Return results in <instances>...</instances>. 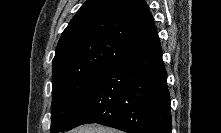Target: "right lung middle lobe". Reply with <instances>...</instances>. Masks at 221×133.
<instances>
[{
	"label": "right lung middle lobe",
	"mask_w": 221,
	"mask_h": 133,
	"mask_svg": "<svg viewBox=\"0 0 221 133\" xmlns=\"http://www.w3.org/2000/svg\"><path fill=\"white\" fill-rule=\"evenodd\" d=\"M108 67L66 68L53 73L51 133L66 129Z\"/></svg>",
	"instance_id": "dd1d6c3e"
}]
</instances>
